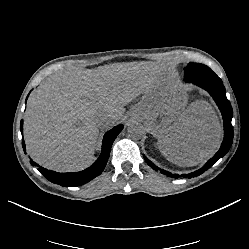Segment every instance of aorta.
Segmentation results:
<instances>
[{"mask_svg": "<svg viewBox=\"0 0 249 249\" xmlns=\"http://www.w3.org/2000/svg\"><path fill=\"white\" fill-rule=\"evenodd\" d=\"M127 131H128V135L134 139H140L145 134L144 126L139 122L130 123L128 125Z\"/></svg>", "mask_w": 249, "mask_h": 249, "instance_id": "1", "label": "aorta"}]
</instances>
